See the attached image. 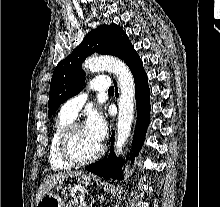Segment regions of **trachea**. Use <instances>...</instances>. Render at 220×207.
Instances as JSON below:
<instances>
[{
  "mask_svg": "<svg viewBox=\"0 0 220 207\" xmlns=\"http://www.w3.org/2000/svg\"><path fill=\"white\" fill-rule=\"evenodd\" d=\"M108 92H114V87H113V86L110 87V88L108 89Z\"/></svg>",
  "mask_w": 220,
  "mask_h": 207,
  "instance_id": "3493384b",
  "label": "trachea"
}]
</instances>
